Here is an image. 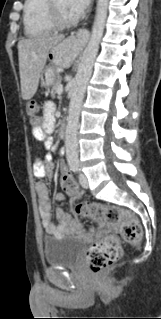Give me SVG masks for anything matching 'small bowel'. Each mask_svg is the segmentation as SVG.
Here are the masks:
<instances>
[{"mask_svg":"<svg viewBox=\"0 0 161 319\" xmlns=\"http://www.w3.org/2000/svg\"><path fill=\"white\" fill-rule=\"evenodd\" d=\"M55 104L51 101L45 103L43 110V126L34 127L32 129V136L39 142H42L46 148H55V145L51 143V134L55 126ZM54 164L48 159L37 158L33 166V174L36 177H42L44 175L52 176ZM67 177L75 187L71 190H66L70 195H78V186L74 178L67 172L66 168L62 167V178ZM38 210L42 220V224L48 233H54L62 235L70 231L79 232L81 225L78 221L74 220L69 213L63 210H58L55 215L51 211V204L49 198V189L43 182L36 184ZM54 198L57 201H64L65 196L62 193H56ZM58 220V225L55 224L54 219ZM107 226L104 222L99 223V230L94 234L89 232V236L99 237Z\"/></svg>","mask_w":161,"mask_h":319,"instance_id":"small-bowel-1","label":"small bowel"}]
</instances>
